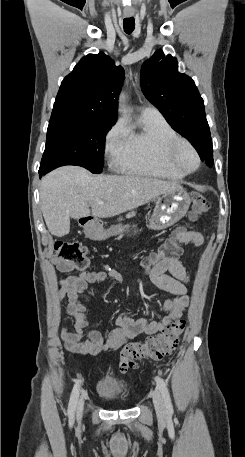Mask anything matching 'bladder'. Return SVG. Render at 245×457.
Returning a JSON list of instances; mask_svg holds the SVG:
<instances>
[{
    "label": "bladder",
    "mask_w": 245,
    "mask_h": 457,
    "mask_svg": "<svg viewBox=\"0 0 245 457\" xmlns=\"http://www.w3.org/2000/svg\"><path fill=\"white\" fill-rule=\"evenodd\" d=\"M125 388V385L111 375L100 377L98 382V397H113L118 391Z\"/></svg>",
    "instance_id": "31cf9c89"
}]
</instances>
